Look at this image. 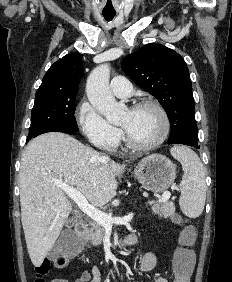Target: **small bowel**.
Wrapping results in <instances>:
<instances>
[{
	"mask_svg": "<svg viewBox=\"0 0 232 282\" xmlns=\"http://www.w3.org/2000/svg\"><path fill=\"white\" fill-rule=\"evenodd\" d=\"M134 243L137 241V236L135 234L130 235ZM156 256L153 252H147L143 255L140 262L141 272H150L156 266ZM51 282H69L66 279H54ZM74 282H102V271L101 268L97 265L93 266L89 270H85L81 275L76 278ZM155 282H169L165 276H159L156 278Z\"/></svg>",
	"mask_w": 232,
	"mask_h": 282,
	"instance_id": "c3829d8e",
	"label": "small bowel"
}]
</instances>
